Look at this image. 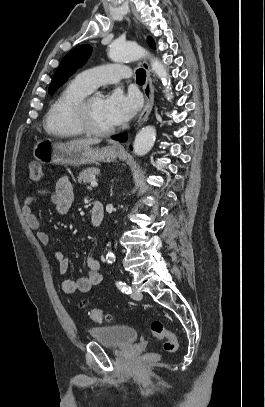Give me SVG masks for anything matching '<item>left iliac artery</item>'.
I'll use <instances>...</instances> for the list:
<instances>
[{"mask_svg": "<svg viewBox=\"0 0 265 407\" xmlns=\"http://www.w3.org/2000/svg\"><path fill=\"white\" fill-rule=\"evenodd\" d=\"M116 285H117V287L122 291V292H124V293H126V294H131V288H130V286H128L125 282H122V281H118L117 283H116Z\"/></svg>", "mask_w": 265, "mask_h": 407, "instance_id": "1", "label": "left iliac artery"}]
</instances>
